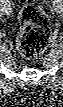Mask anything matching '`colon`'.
I'll use <instances>...</instances> for the list:
<instances>
[{
    "instance_id": "1",
    "label": "colon",
    "mask_w": 63,
    "mask_h": 107,
    "mask_svg": "<svg viewBox=\"0 0 63 107\" xmlns=\"http://www.w3.org/2000/svg\"><path fill=\"white\" fill-rule=\"evenodd\" d=\"M20 30L17 35V47L21 54L33 59L40 56L49 42L50 23L42 9L33 3L21 9Z\"/></svg>"
}]
</instances>
